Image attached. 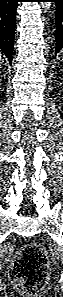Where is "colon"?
Listing matches in <instances>:
<instances>
[{
	"instance_id": "1",
	"label": "colon",
	"mask_w": 63,
	"mask_h": 297,
	"mask_svg": "<svg viewBox=\"0 0 63 297\" xmlns=\"http://www.w3.org/2000/svg\"><path fill=\"white\" fill-rule=\"evenodd\" d=\"M49 276L46 251L37 243L23 246L10 269V278L21 292L33 295L46 284Z\"/></svg>"
}]
</instances>
